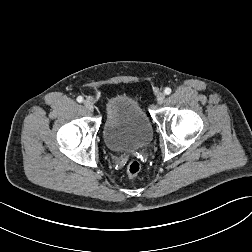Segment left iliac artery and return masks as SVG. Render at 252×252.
Instances as JSON below:
<instances>
[{"label": "left iliac artery", "instance_id": "obj_1", "mask_svg": "<svg viewBox=\"0 0 252 252\" xmlns=\"http://www.w3.org/2000/svg\"><path fill=\"white\" fill-rule=\"evenodd\" d=\"M164 93L169 95L171 93V89L169 87L165 88Z\"/></svg>", "mask_w": 252, "mask_h": 252}]
</instances>
